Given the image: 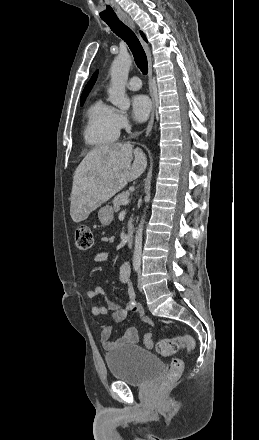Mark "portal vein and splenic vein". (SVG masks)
Returning <instances> with one entry per match:
<instances>
[{"mask_svg": "<svg viewBox=\"0 0 259 440\" xmlns=\"http://www.w3.org/2000/svg\"><path fill=\"white\" fill-rule=\"evenodd\" d=\"M129 203V199L128 198H124L123 200H122V204L123 205H127Z\"/></svg>", "mask_w": 259, "mask_h": 440, "instance_id": "1", "label": "portal vein and splenic vein"}]
</instances>
